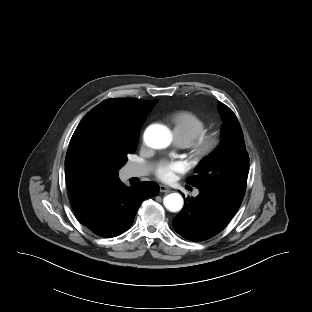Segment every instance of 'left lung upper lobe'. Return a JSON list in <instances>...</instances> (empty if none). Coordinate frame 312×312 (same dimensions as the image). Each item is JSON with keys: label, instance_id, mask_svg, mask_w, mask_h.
Here are the masks:
<instances>
[{"label": "left lung upper lobe", "instance_id": "left-lung-upper-lobe-1", "mask_svg": "<svg viewBox=\"0 0 312 312\" xmlns=\"http://www.w3.org/2000/svg\"><path fill=\"white\" fill-rule=\"evenodd\" d=\"M223 121V141L220 147L197 167L196 175L187 183L197 188L212 189L241 205L249 172V157L243 132L233 111L219 102Z\"/></svg>", "mask_w": 312, "mask_h": 312}]
</instances>
